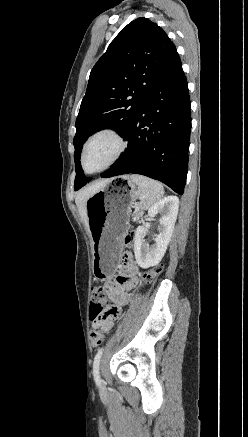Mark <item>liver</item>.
Instances as JSON below:
<instances>
[{"mask_svg": "<svg viewBox=\"0 0 248 437\" xmlns=\"http://www.w3.org/2000/svg\"><path fill=\"white\" fill-rule=\"evenodd\" d=\"M107 182L108 180H101L92 183L81 189L76 195L75 198L76 205L78 207L82 220L87 226H88V221H87V213H86V202L93 193L99 190Z\"/></svg>", "mask_w": 248, "mask_h": 437, "instance_id": "liver-1", "label": "liver"}]
</instances>
